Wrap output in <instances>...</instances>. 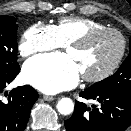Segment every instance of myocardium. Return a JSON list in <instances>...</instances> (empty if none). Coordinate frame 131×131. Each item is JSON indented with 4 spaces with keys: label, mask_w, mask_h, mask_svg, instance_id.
Segmentation results:
<instances>
[{
    "label": "myocardium",
    "mask_w": 131,
    "mask_h": 131,
    "mask_svg": "<svg viewBox=\"0 0 131 131\" xmlns=\"http://www.w3.org/2000/svg\"><path fill=\"white\" fill-rule=\"evenodd\" d=\"M104 33H111V34H115L116 36H118V38L120 39V42H121L120 50H119L117 56L115 57L114 61L101 73H98V74H95V75H82V78L87 82H100V81L105 80L106 78H108L109 76H111L113 74V72L120 65V63H121V61H122V59L125 55V51H126V48H127L126 37L119 30H117L115 28L103 27V28L91 30V31L83 34L79 38L69 42L66 45L67 48L83 47L91 39H93L94 37H96L98 35L104 34Z\"/></svg>",
    "instance_id": "myocardium-1"
}]
</instances>
